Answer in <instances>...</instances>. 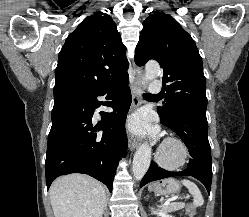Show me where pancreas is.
I'll list each match as a JSON object with an SVG mask.
<instances>
[{
  "instance_id": "pancreas-1",
  "label": "pancreas",
  "mask_w": 249,
  "mask_h": 217,
  "mask_svg": "<svg viewBox=\"0 0 249 217\" xmlns=\"http://www.w3.org/2000/svg\"><path fill=\"white\" fill-rule=\"evenodd\" d=\"M185 207V204L184 203H181V202H173V203H170L169 205L165 206L164 207V210L166 212H175V211H178V210H181Z\"/></svg>"
}]
</instances>
